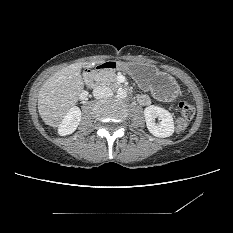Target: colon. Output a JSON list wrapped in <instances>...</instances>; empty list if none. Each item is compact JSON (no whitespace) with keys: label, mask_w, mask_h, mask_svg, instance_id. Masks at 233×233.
Returning a JSON list of instances; mask_svg holds the SVG:
<instances>
[{"label":"colon","mask_w":233,"mask_h":233,"mask_svg":"<svg viewBox=\"0 0 233 233\" xmlns=\"http://www.w3.org/2000/svg\"><path fill=\"white\" fill-rule=\"evenodd\" d=\"M178 110L180 115L176 119L175 128L178 133H181L187 128L189 121L194 116L195 108L192 104L181 101L178 105Z\"/></svg>","instance_id":"5ec220e1"}]
</instances>
